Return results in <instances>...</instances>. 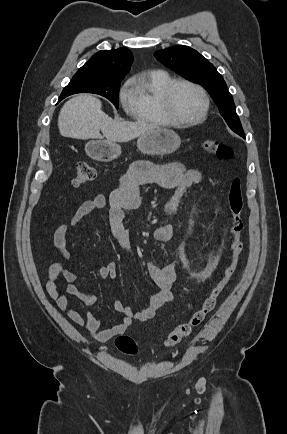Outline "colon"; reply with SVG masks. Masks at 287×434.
<instances>
[{"label":"colon","mask_w":287,"mask_h":434,"mask_svg":"<svg viewBox=\"0 0 287 434\" xmlns=\"http://www.w3.org/2000/svg\"><path fill=\"white\" fill-rule=\"evenodd\" d=\"M202 148L205 152L214 155L218 159H229L233 155L230 147L215 140L203 141ZM95 177L96 170L94 167L86 162H79L76 166L75 175L72 178V185L74 187H80L93 181ZM228 207L231 214L229 263L221 278L215 283L209 294L203 300L201 306L194 311L187 320L178 323L173 331L167 336L163 342L165 347H173L177 345L184 338L188 337L193 329L197 328L204 321L205 317L215 308L218 297L235 273L238 259L243 248L241 235L244 229V200L239 178L233 179L230 185L228 191ZM115 346L120 352L127 355H134L137 352V345L129 336H117L115 339Z\"/></svg>","instance_id":"1"}]
</instances>
